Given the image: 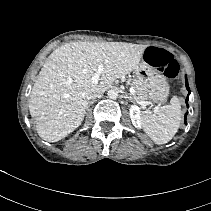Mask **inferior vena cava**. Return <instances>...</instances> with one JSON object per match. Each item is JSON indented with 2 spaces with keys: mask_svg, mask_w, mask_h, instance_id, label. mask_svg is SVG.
<instances>
[{
  "mask_svg": "<svg viewBox=\"0 0 211 211\" xmlns=\"http://www.w3.org/2000/svg\"><path fill=\"white\" fill-rule=\"evenodd\" d=\"M102 94H103V91H96L95 93H93L92 95H91V99H96V98H99V97H101L102 96Z\"/></svg>",
  "mask_w": 211,
  "mask_h": 211,
  "instance_id": "inferior-vena-cava-1",
  "label": "inferior vena cava"
}]
</instances>
